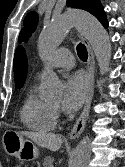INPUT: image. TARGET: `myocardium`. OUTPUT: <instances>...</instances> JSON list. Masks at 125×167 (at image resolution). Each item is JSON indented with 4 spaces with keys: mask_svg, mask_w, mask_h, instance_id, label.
Returning <instances> with one entry per match:
<instances>
[{
    "mask_svg": "<svg viewBox=\"0 0 125 167\" xmlns=\"http://www.w3.org/2000/svg\"><path fill=\"white\" fill-rule=\"evenodd\" d=\"M50 107L54 112L57 111V107H54V106H51V105H50Z\"/></svg>",
    "mask_w": 125,
    "mask_h": 167,
    "instance_id": "1",
    "label": "myocardium"
}]
</instances>
